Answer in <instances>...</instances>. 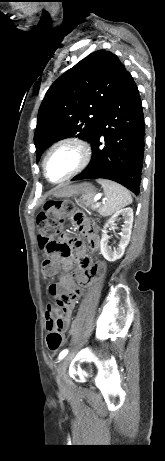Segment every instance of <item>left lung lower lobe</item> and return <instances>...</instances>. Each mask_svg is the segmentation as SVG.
I'll return each instance as SVG.
<instances>
[{"label":"left lung lower lobe","instance_id":"left-lung-lower-lobe-1","mask_svg":"<svg viewBox=\"0 0 165 461\" xmlns=\"http://www.w3.org/2000/svg\"><path fill=\"white\" fill-rule=\"evenodd\" d=\"M144 136L145 124L139 91L131 74L127 72L90 141L91 162L72 181L110 179L138 195Z\"/></svg>","mask_w":165,"mask_h":461}]
</instances>
